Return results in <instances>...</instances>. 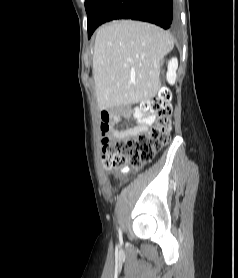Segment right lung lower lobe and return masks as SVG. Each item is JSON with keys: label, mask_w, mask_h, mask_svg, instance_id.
I'll return each instance as SVG.
<instances>
[{"label": "right lung lower lobe", "mask_w": 238, "mask_h": 278, "mask_svg": "<svg viewBox=\"0 0 238 278\" xmlns=\"http://www.w3.org/2000/svg\"><path fill=\"white\" fill-rule=\"evenodd\" d=\"M88 38L104 22L131 18L174 28L178 20L173 0H96L88 11Z\"/></svg>", "instance_id": "obj_1"}]
</instances>
